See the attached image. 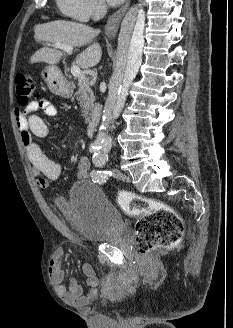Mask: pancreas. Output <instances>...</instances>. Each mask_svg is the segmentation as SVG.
Here are the masks:
<instances>
[{"instance_id": "pancreas-1", "label": "pancreas", "mask_w": 233, "mask_h": 328, "mask_svg": "<svg viewBox=\"0 0 233 328\" xmlns=\"http://www.w3.org/2000/svg\"><path fill=\"white\" fill-rule=\"evenodd\" d=\"M78 90L76 92V99L83 109L85 122H89L93 115L95 104V97L91 89V84L86 79H79Z\"/></svg>"}]
</instances>
